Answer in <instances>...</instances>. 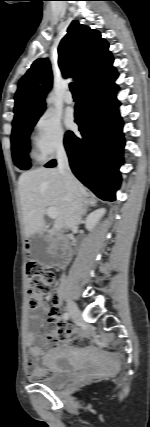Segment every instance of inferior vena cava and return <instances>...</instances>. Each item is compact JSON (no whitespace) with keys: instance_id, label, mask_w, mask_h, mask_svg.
<instances>
[{"instance_id":"1","label":"inferior vena cava","mask_w":150,"mask_h":427,"mask_svg":"<svg viewBox=\"0 0 150 427\" xmlns=\"http://www.w3.org/2000/svg\"><path fill=\"white\" fill-rule=\"evenodd\" d=\"M57 162L58 170L64 179L67 190L65 226L70 228L80 222L84 209V200L78 192L76 179L71 172L68 157L62 144L57 148Z\"/></svg>"}]
</instances>
